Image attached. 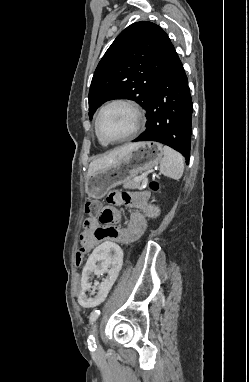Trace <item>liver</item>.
Instances as JSON below:
<instances>
[{"label":"liver","instance_id":"6515ba94","mask_svg":"<svg viewBox=\"0 0 249 382\" xmlns=\"http://www.w3.org/2000/svg\"><path fill=\"white\" fill-rule=\"evenodd\" d=\"M135 143L126 144L113 151L93 160L88 168L87 178H89L93 173L106 169L118 161H120L125 155H127L134 147Z\"/></svg>","mask_w":249,"mask_h":382}]
</instances>
